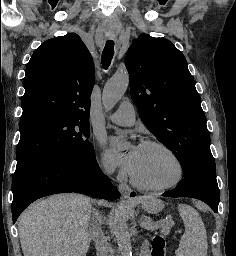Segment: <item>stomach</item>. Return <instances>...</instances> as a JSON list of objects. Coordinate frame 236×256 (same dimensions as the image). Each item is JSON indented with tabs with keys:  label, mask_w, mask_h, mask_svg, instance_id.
Segmentation results:
<instances>
[{
	"label": "stomach",
	"mask_w": 236,
	"mask_h": 256,
	"mask_svg": "<svg viewBox=\"0 0 236 256\" xmlns=\"http://www.w3.org/2000/svg\"><path fill=\"white\" fill-rule=\"evenodd\" d=\"M142 208L148 213H158L163 208V202L159 199H144Z\"/></svg>",
	"instance_id": "1"
}]
</instances>
